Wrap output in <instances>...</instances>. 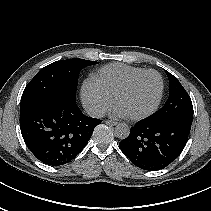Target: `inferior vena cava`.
I'll return each instance as SVG.
<instances>
[{"label": "inferior vena cava", "mask_w": 211, "mask_h": 211, "mask_svg": "<svg viewBox=\"0 0 211 211\" xmlns=\"http://www.w3.org/2000/svg\"><path fill=\"white\" fill-rule=\"evenodd\" d=\"M86 112L90 117L94 118H102L105 115V109L98 106L89 107Z\"/></svg>", "instance_id": "602c4592"}]
</instances>
